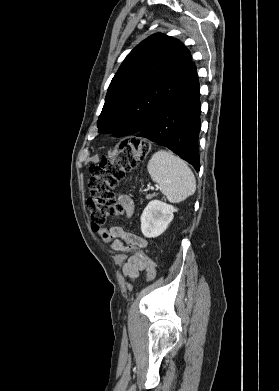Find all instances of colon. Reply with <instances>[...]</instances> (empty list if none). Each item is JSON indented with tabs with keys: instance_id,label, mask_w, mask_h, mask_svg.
Instances as JSON below:
<instances>
[{
	"instance_id": "1",
	"label": "colon",
	"mask_w": 279,
	"mask_h": 391,
	"mask_svg": "<svg viewBox=\"0 0 279 391\" xmlns=\"http://www.w3.org/2000/svg\"><path fill=\"white\" fill-rule=\"evenodd\" d=\"M149 152L150 145L146 141L132 138L122 142L111 157L103 158L90 167V196L87 206L92 228L100 233L103 240L111 241L112 235L106 229H101L102 225L108 218L119 216L123 212V208L116 202V186L128 171L145 161ZM128 249L146 263L148 279L154 280L156 268L153 260L131 244Z\"/></svg>"
}]
</instances>
